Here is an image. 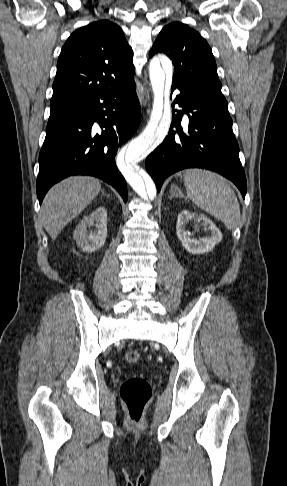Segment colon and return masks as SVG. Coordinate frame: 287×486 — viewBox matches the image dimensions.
<instances>
[{
    "label": "colon",
    "instance_id": "1",
    "mask_svg": "<svg viewBox=\"0 0 287 486\" xmlns=\"http://www.w3.org/2000/svg\"><path fill=\"white\" fill-rule=\"evenodd\" d=\"M125 359L128 363L135 364L140 360V353L136 350L128 351ZM151 395L150 383L141 376H131L122 383L120 397L131 422H140Z\"/></svg>",
    "mask_w": 287,
    "mask_h": 486
}]
</instances>
